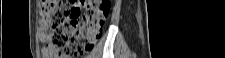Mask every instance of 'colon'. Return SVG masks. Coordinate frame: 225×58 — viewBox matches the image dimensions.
<instances>
[{"label": "colon", "mask_w": 225, "mask_h": 58, "mask_svg": "<svg viewBox=\"0 0 225 58\" xmlns=\"http://www.w3.org/2000/svg\"><path fill=\"white\" fill-rule=\"evenodd\" d=\"M109 10L107 0L41 1L38 37L44 43L43 56H78L91 50L102 36Z\"/></svg>", "instance_id": "5ec220e1"}]
</instances>
